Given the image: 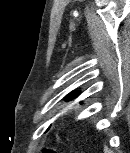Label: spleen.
<instances>
[{
  "label": "spleen",
  "instance_id": "spleen-1",
  "mask_svg": "<svg viewBox=\"0 0 130 153\" xmlns=\"http://www.w3.org/2000/svg\"><path fill=\"white\" fill-rule=\"evenodd\" d=\"M104 152L105 153H112V151L106 145L104 146Z\"/></svg>",
  "mask_w": 130,
  "mask_h": 153
}]
</instances>
